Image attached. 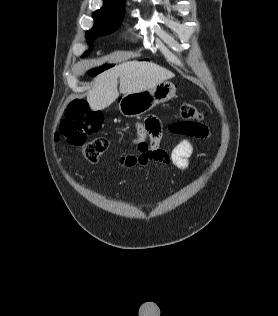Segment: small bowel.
I'll return each mask as SVG.
<instances>
[{
	"mask_svg": "<svg viewBox=\"0 0 278 316\" xmlns=\"http://www.w3.org/2000/svg\"><path fill=\"white\" fill-rule=\"evenodd\" d=\"M136 131V137L132 140L136 153L121 154L117 160L119 168L145 167L151 161H155L165 167H174L181 171L188 170L190 158L194 153V145L189 139H183L170 151L163 149L160 145L162 125L154 116H149L144 123H137ZM207 136L208 130L204 127L199 135L193 137L204 139Z\"/></svg>",
	"mask_w": 278,
	"mask_h": 316,
	"instance_id": "obj_1",
	"label": "small bowel"
}]
</instances>
